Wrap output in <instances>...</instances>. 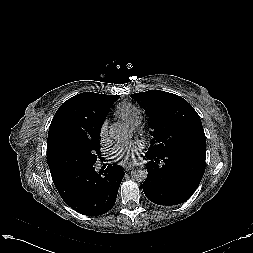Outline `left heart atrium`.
Here are the masks:
<instances>
[{"instance_id": "39dd6f15", "label": "left heart atrium", "mask_w": 253, "mask_h": 253, "mask_svg": "<svg viewBox=\"0 0 253 253\" xmlns=\"http://www.w3.org/2000/svg\"><path fill=\"white\" fill-rule=\"evenodd\" d=\"M140 149L141 147L136 143H119L113 148V158L124 163H130Z\"/></svg>"}]
</instances>
